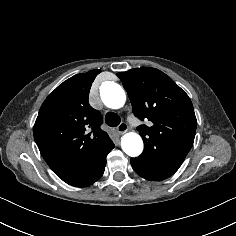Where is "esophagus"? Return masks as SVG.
Here are the masks:
<instances>
[{
  "instance_id": "1",
  "label": "esophagus",
  "mask_w": 236,
  "mask_h": 236,
  "mask_svg": "<svg viewBox=\"0 0 236 236\" xmlns=\"http://www.w3.org/2000/svg\"><path fill=\"white\" fill-rule=\"evenodd\" d=\"M117 131L120 134H124L127 131V124L122 122L118 127H117Z\"/></svg>"
}]
</instances>
